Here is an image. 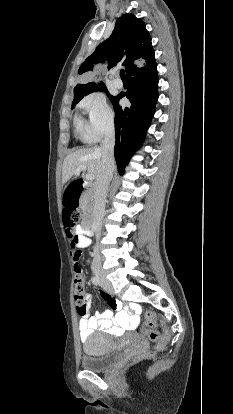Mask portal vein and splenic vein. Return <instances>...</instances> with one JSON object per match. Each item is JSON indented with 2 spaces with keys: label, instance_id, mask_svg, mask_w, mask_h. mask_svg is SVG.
<instances>
[{
  "label": "portal vein and splenic vein",
  "instance_id": "1",
  "mask_svg": "<svg viewBox=\"0 0 233 414\" xmlns=\"http://www.w3.org/2000/svg\"><path fill=\"white\" fill-rule=\"evenodd\" d=\"M81 171H86V167L85 166H82V167H80L79 169H77L76 171H75V174H79ZM95 177H94V175H92V174H87L86 175V179L87 180H93Z\"/></svg>",
  "mask_w": 233,
  "mask_h": 414
}]
</instances>
